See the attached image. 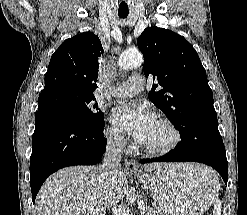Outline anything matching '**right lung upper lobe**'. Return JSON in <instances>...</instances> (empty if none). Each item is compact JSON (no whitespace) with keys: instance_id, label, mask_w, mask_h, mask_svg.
<instances>
[{"instance_id":"1","label":"right lung upper lobe","mask_w":247,"mask_h":215,"mask_svg":"<svg viewBox=\"0 0 247 215\" xmlns=\"http://www.w3.org/2000/svg\"><path fill=\"white\" fill-rule=\"evenodd\" d=\"M103 52L98 36L91 32L65 40L51 57L44 90L68 88L93 95Z\"/></svg>"}]
</instances>
